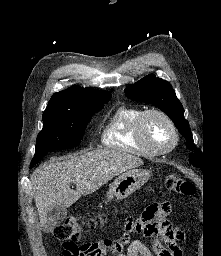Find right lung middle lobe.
Returning a JSON list of instances; mask_svg holds the SVG:
<instances>
[{
  "label": "right lung middle lobe",
  "mask_w": 221,
  "mask_h": 256,
  "mask_svg": "<svg viewBox=\"0 0 221 256\" xmlns=\"http://www.w3.org/2000/svg\"><path fill=\"white\" fill-rule=\"evenodd\" d=\"M110 98L111 95L83 102L75 111L43 113V129L38 134L35 155L30 167L52 150L78 146L92 115Z\"/></svg>",
  "instance_id": "dd1d6c3e"
}]
</instances>
